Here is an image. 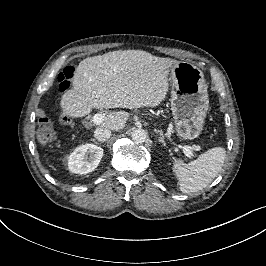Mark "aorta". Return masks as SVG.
Returning <instances> with one entry per match:
<instances>
[{
    "instance_id": "obj_1",
    "label": "aorta",
    "mask_w": 266,
    "mask_h": 266,
    "mask_svg": "<svg viewBox=\"0 0 266 266\" xmlns=\"http://www.w3.org/2000/svg\"><path fill=\"white\" fill-rule=\"evenodd\" d=\"M131 138L135 143H142L147 138V132L144 129H135L131 132Z\"/></svg>"
}]
</instances>
